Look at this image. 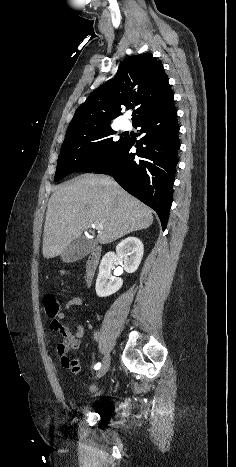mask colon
<instances>
[{
	"mask_svg": "<svg viewBox=\"0 0 236 467\" xmlns=\"http://www.w3.org/2000/svg\"><path fill=\"white\" fill-rule=\"evenodd\" d=\"M43 304L45 307L46 314L50 317H53L60 313L61 311V301L54 294H45L43 296Z\"/></svg>",
	"mask_w": 236,
	"mask_h": 467,
	"instance_id": "1",
	"label": "colon"
}]
</instances>
